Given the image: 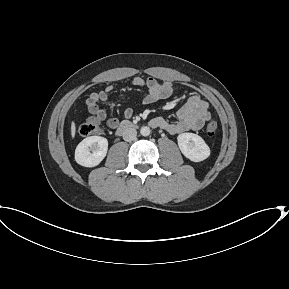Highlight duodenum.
Instances as JSON below:
<instances>
[{
    "instance_id": "1",
    "label": "duodenum",
    "mask_w": 289,
    "mask_h": 289,
    "mask_svg": "<svg viewBox=\"0 0 289 289\" xmlns=\"http://www.w3.org/2000/svg\"><path fill=\"white\" fill-rule=\"evenodd\" d=\"M150 124H151V126H153V127H157V123L154 122V121H151ZM133 127H134V125H133L131 122H129V121H124V122H122V123L120 124L119 128L117 129L116 134H117V135H121V134L129 131V130L132 129Z\"/></svg>"
}]
</instances>
